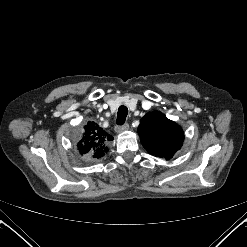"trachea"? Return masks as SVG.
I'll list each match as a JSON object with an SVG mask.
<instances>
[{
  "label": "trachea",
  "mask_w": 247,
  "mask_h": 247,
  "mask_svg": "<svg viewBox=\"0 0 247 247\" xmlns=\"http://www.w3.org/2000/svg\"><path fill=\"white\" fill-rule=\"evenodd\" d=\"M127 115H128V108L124 105L120 106L117 112V119H116L117 125H123L125 123Z\"/></svg>",
  "instance_id": "1"
}]
</instances>
